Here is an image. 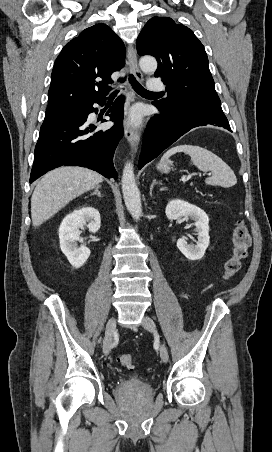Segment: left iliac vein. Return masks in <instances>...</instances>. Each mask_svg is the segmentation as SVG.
<instances>
[{"instance_id":"1","label":"left iliac vein","mask_w":272,"mask_h":452,"mask_svg":"<svg viewBox=\"0 0 272 452\" xmlns=\"http://www.w3.org/2000/svg\"><path fill=\"white\" fill-rule=\"evenodd\" d=\"M142 326L146 330L154 333L155 335H158L156 325H155L154 321L149 316H144L143 321H142ZM159 352H160L161 360L164 363H167L168 362V357H169L168 356V350H167L166 346L163 343H160Z\"/></svg>"}]
</instances>
